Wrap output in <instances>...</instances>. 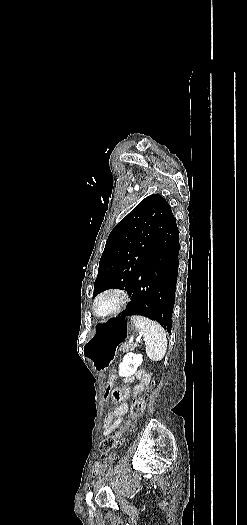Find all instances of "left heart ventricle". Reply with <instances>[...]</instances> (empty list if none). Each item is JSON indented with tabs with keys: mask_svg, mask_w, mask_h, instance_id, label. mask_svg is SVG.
<instances>
[{
	"mask_svg": "<svg viewBox=\"0 0 247 525\" xmlns=\"http://www.w3.org/2000/svg\"><path fill=\"white\" fill-rule=\"evenodd\" d=\"M115 301H116L115 296L107 295L98 301L97 307L99 310H104L108 307H111L115 303Z\"/></svg>",
	"mask_w": 247,
	"mask_h": 525,
	"instance_id": "b2bd125f",
	"label": "left heart ventricle"
}]
</instances>
